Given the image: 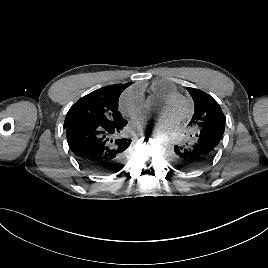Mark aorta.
<instances>
[{"label":"aorta","mask_w":268,"mask_h":268,"mask_svg":"<svg viewBox=\"0 0 268 268\" xmlns=\"http://www.w3.org/2000/svg\"><path fill=\"white\" fill-rule=\"evenodd\" d=\"M153 138L158 143L164 142L166 140V133L164 131L158 130L154 133Z\"/></svg>","instance_id":"obj_1"}]
</instances>
